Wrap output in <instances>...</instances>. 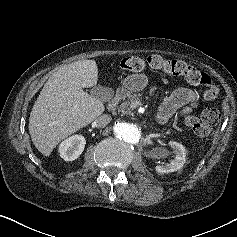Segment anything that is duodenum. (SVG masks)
I'll list each match as a JSON object with an SVG mask.
<instances>
[{"label":"duodenum","instance_id":"1","mask_svg":"<svg viewBox=\"0 0 237 237\" xmlns=\"http://www.w3.org/2000/svg\"><path fill=\"white\" fill-rule=\"evenodd\" d=\"M121 98H122V92L119 91L114 95L112 100L109 102L110 108H115L117 103L120 101Z\"/></svg>","mask_w":237,"mask_h":237}]
</instances>
